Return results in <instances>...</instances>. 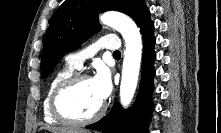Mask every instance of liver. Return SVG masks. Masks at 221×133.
<instances>
[{
    "label": "liver",
    "mask_w": 221,
    "mask_h": 133,
    "mask_svg": "<svg viewBox=\"0 0 221 133\" xmlns=\"http://www.w3.org/2000/svg\"><path fill=\"white\" fill-rule=\"evenodd\" d=\"M48 130L52 131V133H90L87 130H77V129H72V128H47Z\"/></svg>",
    "instance_id": "1"
}]
</instances>
